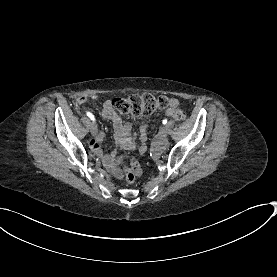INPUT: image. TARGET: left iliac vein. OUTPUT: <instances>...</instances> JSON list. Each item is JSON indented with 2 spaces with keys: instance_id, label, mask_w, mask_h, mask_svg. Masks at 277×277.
I'll return each instance as SVG.
<instances>
[{
  "instance_id": "1",
  "label": "left iliac vein",
  "mask_w": 277,
  "mask_h": 277,
  "mask_svg": "<svg viewBox=\"0 0 277 277\" xmlns=\"http://www.w3.org/2000/svg\"><path fill=\"white\" fill-rule=\"evenodd\" d=\"M160 133H161V135H162L163 137H165V136L167 135V133H168L167 127H166V126L161 127Z\"/></svg>"
}]
</instances>
